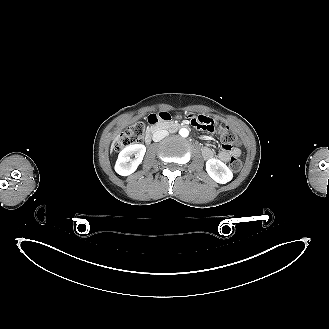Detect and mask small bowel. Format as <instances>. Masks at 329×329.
Listing matches in <instances>:
<instances>
[{
  "label": "small bowel",
  "instance_id": "c3829d8e",
  "mask_svg": "<svg viewBox=\"0 0 329 329\" xmlns=\"http://www.w3.org/2000/svg\"><path fill=\"white\" fill-rule=\"evenodd\" d=\"M175 121H179L181 116L179 114H175L173 116ZM182 119L187 122L191 123L198 129H202L204 133H212L215 129L219 127V122L217 120H211L206 115H199V114H192L190 112L185 113L182 116ZM240 150L238 148H224L218 153L217 158L223 162H226L230 159V157H237L240 155ZM202 154L204 158L211 159L214 157L213 150L209 147H204L202 149Z\"/></svg>",
  "mask_w": 329,
  "mask_h": 329
}]
</instances>
